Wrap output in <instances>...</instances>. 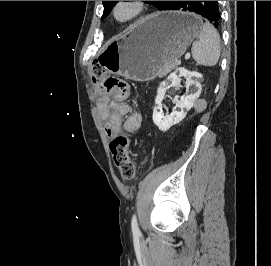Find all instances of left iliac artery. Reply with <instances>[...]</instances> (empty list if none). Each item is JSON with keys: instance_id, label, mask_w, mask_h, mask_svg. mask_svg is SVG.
Returning <instances> with one entry per match:
<instances>
[{"instance_id": "1", "label": "left iliac artery", "mask_w": 271, "mask_h": 266, "mask_svg": "<svg viewBox=\"0 0 271 266\" xmlns=\"http://www.w3.org/2000/svg\"><path fill=\"white\" fill-rule=\"evenodd\" d=\"M131 227H132V231H133L134 234H139L140 233L135 214L133 215L132 220H131Z\"/></svg>"}]
</instances>
